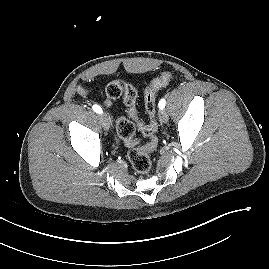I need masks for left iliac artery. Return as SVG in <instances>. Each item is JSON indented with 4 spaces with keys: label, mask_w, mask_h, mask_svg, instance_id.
<instances>
[{
    "label": "left iliac artery",
    "mask_w": 269,
    "mask_h": 269,
    "mask_svg": "<svg viewBox=\"0 0 269 269\" xmlns=\"http://www.w3.org/2000/svg\"><path fill=\"white\" fill-rule=\"evenodd\" d=\"M166 105V100L164 98H162L160 101H159V108L162 110Z\"/></svg>",
    "instance_id": "44dca946"
}]
</instances>
